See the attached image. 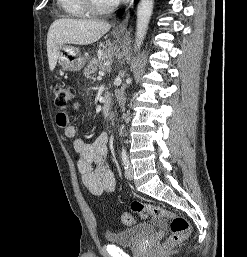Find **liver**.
<instances>
[{
  "label": "liver",
  "instance_id": "liver-1",
  "mask_svg": "<svg viewBox=\"0 0 247 257\" xmlns=\"http://www.w3.org/2000/svg\"><path fill=\"white\" fill-rule=\"evenodd\" d=\"M111 28V24L97 20L57 19L47 34L49 68L55 69L59 50L64 44L89 45L98 41Z\"/></svg>",
  "mask_w": 247,
  "mask_h": 257
}]
</instances>
